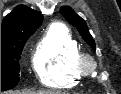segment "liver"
<instances>
[{"label": "liver", "instance_id": "obj_1", "mask_svg": "<svg viewBox=\"0 0 121 94\" xmlns=\"http://www.w3.org/2000/svg\"><path fill=\"white\" fill-rule=\"evenodd\" d=\"M6 94H60V93L55 91L22 92V93L18 91H10L9 93Z\"/></svg>", "mask_w": 121, "mask_h": 94}]
</instances>
